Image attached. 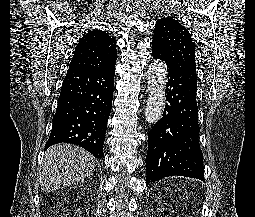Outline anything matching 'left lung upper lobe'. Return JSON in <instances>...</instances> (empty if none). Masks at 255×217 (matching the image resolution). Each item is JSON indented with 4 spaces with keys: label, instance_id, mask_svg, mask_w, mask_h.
<instances>
[{
    "label": "left lung upper lobe",
    "instance_id": "left-lung-upper-lobe-1",
    "mask_svg": "<svg viewBox=\"0 0 255 217\" xmlns=\"http://www.w3.org/2000/svg\"><path fill=\"white\" fill-rule=\"evenodd\" d=\"M152 49L172 65L196 74L195 46L190 32L173 18H161L154 29Z\"/></svg>",
    "mask_w": 255,
    "mask_h": 217
}]
</instances>
